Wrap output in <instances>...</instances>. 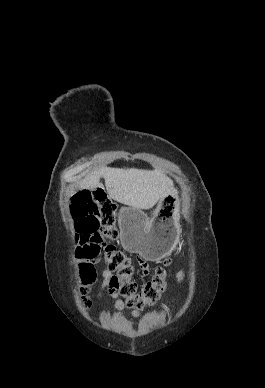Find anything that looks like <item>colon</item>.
Here are the masks:
<instances>
[{"mask_svg": "<svg viewBox=\"0 0 265 388\" xmlns=\"http://www.w3.org/2000/svg\"><path fill=\"white\" fill-rule=\"evenodd\" d=\"M70 209L77 232L75 254L81 260L80 292L85 305L91 304L87 293L96 277L94 265L100 260L113 273L114 288L129 307L141 309L153 305L166 288L167 271L165 267L157 268L153 277L138 290L131 259L113 244L117 237L116 206L106 192L100 188L81 191L72 199ZM169 264L167 261L166 265Z\"/></svg>", "mask_w": 265, "mask_h": 388, "instance_id": "obj_1", "label": "colon"}]
</instances>
